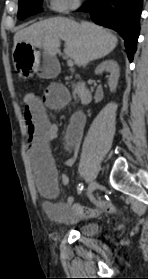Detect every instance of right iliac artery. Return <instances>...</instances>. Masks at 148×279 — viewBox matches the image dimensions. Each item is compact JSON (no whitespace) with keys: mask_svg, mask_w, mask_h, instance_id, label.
Listing matches in <instances>:
<instances>
[{"mask_svg":"<svg viewBox=\"0 0 148 279\" xmlns=\"http://www.w3.org/2000/svg\"><path fill=\"white\" fill-rule=\"evenodd\" d=\"M83 188H84V186H83V184L82 183H80L79 185H78V193H81V191L83 190Z\"/></svg>","mask_w":148,"mask_h":279,"instance_id":"obj_1","label":"right iliac artery"}]
</instances>
